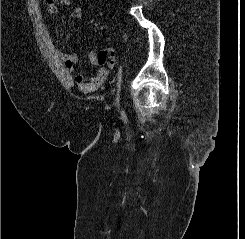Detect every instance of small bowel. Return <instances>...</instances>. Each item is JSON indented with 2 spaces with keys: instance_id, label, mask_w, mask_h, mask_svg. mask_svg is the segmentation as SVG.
<instances>
[{
  "instance_id": "c3829d8e",
  "label": "small bowel",
  "mask_w": 245,
  "mask_h": 239,
  "mask_svg": "<svg viewBox=\"0 0 245 239\" xmlns=\"http://www.w3.org/2000/svg\"><path fill=\"white\" fill-rule=\"evenodd\" d=\"M45 1L48 7V12L51 15H55L58 12L59 6H69L71 3V0H53V2H49V0ZM70 17L74 19L80 18L81 10L79 8L73 9L70 13ZM58 56L65 72L72 74L77 62L76 54L59 52ZM88 61L92 66L98 68L96 74L89 79H86L81 74H76L73 76L74 83L84 93L96 91L107 81L111 70L114 69L116 64L115 52L111 48L105 49L99 53L93 49H90L88 53Z\"/></svg>"
}]
</instances>
